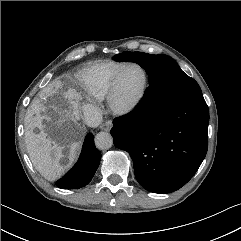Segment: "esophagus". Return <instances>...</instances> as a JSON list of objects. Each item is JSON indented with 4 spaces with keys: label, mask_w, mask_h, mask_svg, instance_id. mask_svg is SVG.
Returning <instances> with one entry per match:
<instances>
[{
    "label": "esophagus",
    "mask_w": 241,
    "mask_h": 241,
    "mask_svg": "<svg viewBox=\"0 0 241 241\" xmlns=\"http://www.w3.org/2000/svg\"><path fill=\"white\" fill-rule=\"evenodd\" d=\"M101 130L109 131L112 128V122L107 121L100 126Z\"/></svg>",
    "instance_id": "1"
}]
</instances>
